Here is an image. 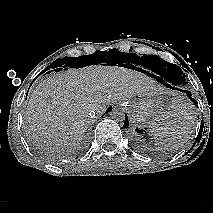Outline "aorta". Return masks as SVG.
Returning a JSON list of instances; mask_svg holds the SVG:
<instances>
[{
	"label": "aorta",
	"mask_w": 213,
	"mask_h": 213,
	"mask_svg": "<svg viewBox=\"0 0 213 213\" xmlns=\"http://www.w3.org/2000/svg\"><path fill=\"white\" fill-rule=\"evenodd\" d=\"M110 117L115 122L122 123L125 120V112L122 109H120V108H116V109H113L110 112Z\"/></svg>",
	"instance_id": "1"
}]
</instances>
